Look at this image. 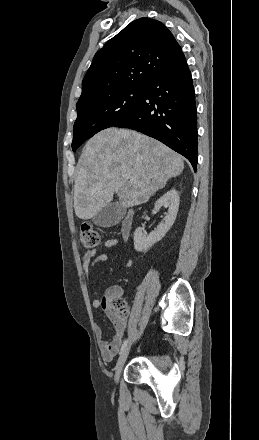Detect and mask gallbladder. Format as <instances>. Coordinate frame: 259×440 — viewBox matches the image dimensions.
Here are the masks:
<instances>
[{"label": "gallbladder", "mask_w": 259, "mask_h": 440, "mask_svg": "<svg viewBox=\"0 0 259 440\" xmlns=\"http://www.w3.org/2000/svg\"><path fill=\"white\" fill-rule=\"evenodd\" d=\"M125 214L124 207L118 202L108 204L101 209L93 218L95 225L108 228L117 225Z\"/></svg>", "instance_id": "bac80fb5"}]
</instances>
